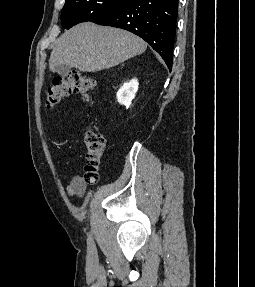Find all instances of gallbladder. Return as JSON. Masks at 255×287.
Returning <instances> with one entry per match:
<instances>
[{"label": "gallbladder", "instance_id": "obj_1", "mask_svg": "<svg viewBox=\"0 0 255 287\" xmlns=\"http://www.w3.org/2000/svg\"><path fill=\"white\" fill-rule=\"evenodd\" d=\"M70 70H71L70 66H56V68H54L53 72H57V74H59V76H62V78H66V76H68Z\"/></svg>", "mask_w": 255, "mask_h": 287}]
</instances>
